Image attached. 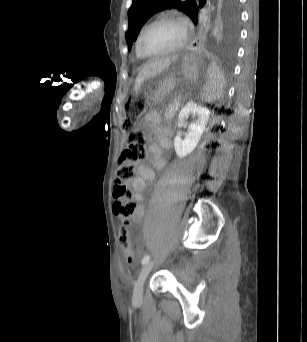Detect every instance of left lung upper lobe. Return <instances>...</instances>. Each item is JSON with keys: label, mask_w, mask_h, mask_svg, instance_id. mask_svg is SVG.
Wrapping results in <instances>:
<instances>
[{"label": "left lung upper lobe", "mask_w": 307, "mask_h": 342, "mask_svg": "<svg viewBox=\"0 0 307 342\" xmlns=\"http://www.w3.org/2000/svg\"><path fill=\"white\" fill-rule=\"evenodd\" d=\"M212 23L216 43L225 54L232 55L238 39L239 9L238 0H214ZM206 0H133L128 10V31L126 41L131 48L135 36L147 19L165 8H177L186 13L194 22L198 23L199 5L203 6Z\"/></svg>", "instance_id": "obj_1"}]
</instances>
